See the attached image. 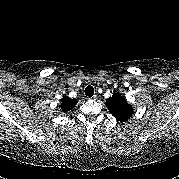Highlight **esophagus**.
<instances>
[{"mask_svg": "<svg viewBox=\"0 0 179 179\" xmlns=\"http://www.w3.org/2000/svg\"><path fill=\"white\" fill-rule=\"evenodd\" d=\"M92 100H97L98 99V95L97 94H95L94 96H92V98H91Z\"/></svg>", "mask_w": 179, "mask_h": 179, "instance_id": "34e87169", "label": "esophagus"}]
</instances>
